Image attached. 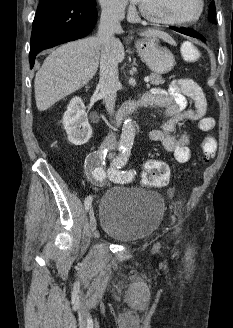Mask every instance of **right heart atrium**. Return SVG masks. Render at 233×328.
<instances>
[{
	"instance_id": "d8ad5b80",
	"label": "right heart atrium",
	"mask_w": 233,
	"mask_h": 328,
	"mask_svg": "<svg viewBox=\"0 0 233 328\" xmlns=\"http://www.w3.org/2000/svg\"><path fill=\"white\" fill-rule=\"evenodd\" d=\"M104 15L110 18H120L125 11V0H98Z\"/></svg>"
}]
</instances>
